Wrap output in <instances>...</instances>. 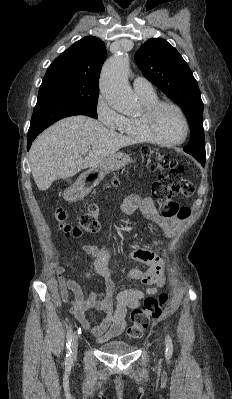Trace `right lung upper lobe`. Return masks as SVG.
<instances>
[{
  "label": "right lung upper lobe",
  "mask_w": 232,
  "mask_h": 399,
  "mask_svg": "<svg viewBox=\"0 0 232 399\" xmlns=\"http://www.w3.org/2000/svg\"><path fill=\"white\" fill-rule=\"evenodd\" d=\"M106 56L104 42L97 37L86 36L56 58L43 80L59 79L99 88L98 79Z\"/></svg>",
  "instance_id": "cb5924a9"
}]
</instances>
